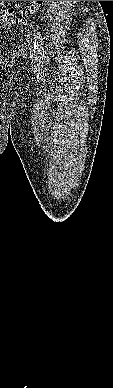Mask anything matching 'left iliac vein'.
Here are the masks:
<instances>
[{
    "label": "left iliac vein",
    "mask_w": 113,
    "mask_h": 388,
    "mask_svg": "<svg viewBox=\"0 0 113 388\" xmlns=\"http://www.w3.org/2000/svg\"><path fill=\"white\" fill-rule=\"evenodd\" d=\"M30 55H31L32 57H35V56H36V50H35V48H34L33 46H30Z\"/></svg>",
    "instance_id": "1"
}]
</instances>
